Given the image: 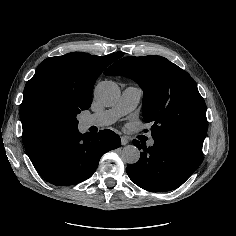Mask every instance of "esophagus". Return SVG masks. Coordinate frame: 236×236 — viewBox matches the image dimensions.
<instances>
[{"instance_id": "1", "label": "esophagus", "mask_w": 236, "mask_h": 236, "mask_svg": "<svg viewBox=\"0 0 236 236\" xmlns=\"http://www.w3.org/2000/svg\"><path fill=\"white\" fill-rule=\"evenodd\" d=\"M128 143V139L124 136L121 137V144L126 145Z\"/></svg>"}]
</instances>
